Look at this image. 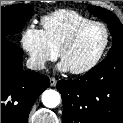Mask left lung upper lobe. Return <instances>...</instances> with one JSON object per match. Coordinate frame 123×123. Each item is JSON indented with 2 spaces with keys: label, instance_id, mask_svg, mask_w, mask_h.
Returning a JSON list of instances; mask_svg holds the SVG:
<instances>
[{
  "label": "left lung upper lobe",
  "instance_id": "obj_1",
  "mask_svg": "<svg viewBox=\"0 0 123 123\" xmlns=\"http://www.w3.org/2000/svg\"><path fill=\"white\" fill-rule=\"evenodd\" d=\"M90 13L108 22V28L113 37L112 47L107 57L123 52V26L119 19L111 12L104 8L91 6L88 8Z\"/></svg>",
  "mask_w": 123,
  "mask_h": 123
}]
</instances>
